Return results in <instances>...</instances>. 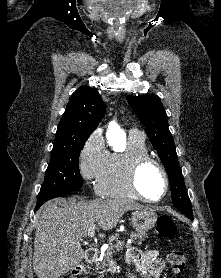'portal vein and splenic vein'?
Returning a JSON list of instances; mask_svg holds the SVG:
<instances>
[{"instance_id": "1", "label": "portal vein and splenic vein", "mask_w": 221, "mask_h": 278, "mask_svg": "<svg viewBox=\"0 0 221 278\" xmlns=\"http://www.w3.org/2000/svg\"><path fill=\"white\" fill-rule=\"evenodd\" d=\"M95 229H96V225L92 224L89 228H88V236L90 238H94L95 237ZM120 244H124V241H120Z\"/></svg>"}]
</instances>
